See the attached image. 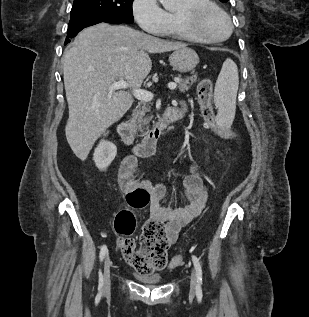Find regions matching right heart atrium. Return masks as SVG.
Returning <instances> with one entry per match:
<instances>
[{
	"label": "right heart atrium",
	"instance_id": "obj_1",
	"mask_svg": "<svg viewBox=\"0 0 309 317\" xmlns=\"http://www.w3.org/2000/svg\"><path fill=\"white\" fill-rule=\"evenodd\" d=\"M132 13L142 30L150 34H160L168 27L166 11L157 0H133Z\"/></svg>",
	"mask_w": 309,
	"mask_h": 317
}]
</instances>
